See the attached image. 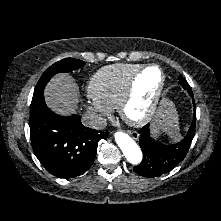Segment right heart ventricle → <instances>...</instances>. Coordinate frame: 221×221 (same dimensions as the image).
I'll use <instances>...</instances> for the list:
<instances>
[{
  "label": "right heart ventricle",
  "instance_id": "1",
  "mask_svg": "<svg viewBox=\"0 0 221 221\" xmlns=\"http://www.w3.org/2000/svg\"><path fill=\"white\" fill-rule=\"evenodd\" d=\"M140 67L137 64H116L101 68L87 84L88 96L111 109L118 108L129 79Z\"/></svg>",
  "mask_w": 221,
  "mask_h": 221
}]
</instances>
